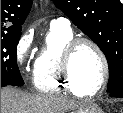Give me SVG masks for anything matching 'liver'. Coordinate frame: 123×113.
I'll use <instances>...</instances> for the list:
<instances>
[{"instance_id": "obj_1", "label": "liver", "mask_w": 123, "mask_h": 113, "mask_svg": "<svg viewBox=\"0 0 123 113\" xmlns=\"http://www.w3.org/2000/svg\"><path fill=\"white\" fill-rule=\"evenodd\" d=\"M82 108L80 102L61 95L30 94L13 87L1 89V113H66Z\"/></svg>"}]
</instances>
